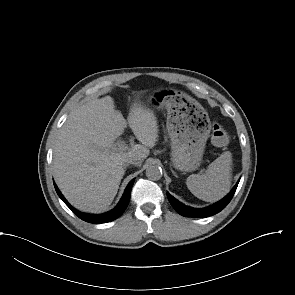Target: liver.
<instances>
[{
    "label": "liver",
    "instance_id": "obj_1",
    "mask_svg": "<svg viewBox=\"0 0 295 295\" xmlns=\"http://www.w3.org/2000/svg\"><path fill=\"white\" fill-rule=\"evenodd\" d=\"M128 124L141 144L129 152L112 150L127 122L115 109L113 98L105 96L71 112L61 127L53 151V173L62 194L76 209L91 213L106 210L125 174L127 155H138L142 161L155 146L159 129L153 111L135 102Z\"/></svg>",
    "mask_w": 295,
    "mask_h": 295
}]
</instances>
